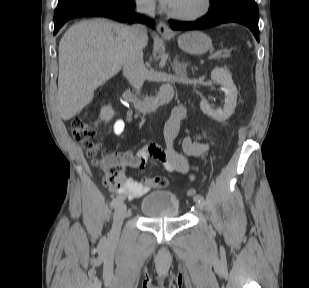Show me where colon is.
I'll return each instance as SVG.
<instances>
[{
    "label": "colon",
    "instance_id": "1",
    "mask_svg": "<svg viewBox=\"0 0 309 288\" xmlns=\"http://www.w3.org/2000/svg\"><path fill=\"white\" fill-rule=\"evenodd\" d=\"M71 133L74 140L80 143L87 155L91 157L92 164L103 169V184L105 187L114 189L120 186L124 178L122 165L115 159L107 157L106 151L96 140L94 129L86 123L83 117H76L73 120ZM149 182H153L158 187H166L169 184L168 179L165 177H158L153 181L145 179L142 183L147 184ZM187 195L194 198L197 196V190L189 188Z\"/></svg>",
    "mask_w": 309,
    "mask_h": 288
}]
</instances>
